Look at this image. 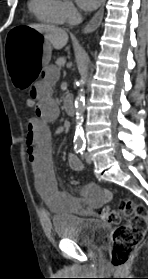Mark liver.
I'll use <instances>...</instances> for the list:
<instances>
[{
  "instance_id": "6515ba94",
  "label": "liver",
  "mask_w": 148,
  "mask_h": 279,
  "mask_svg": "<svg viewBox=\"0 0 148 279\" xmlns=\"http://www.w3.org/2000/svg\"><path fill=\"white\" fill-rule=\"evenodd\" d=\"M30 28L42 33L45 39L56 49H62L68 42V34L64 29L52 25L32 24ZM69 50V47L66 48Z\"/></svg>"
}]
</instances>
